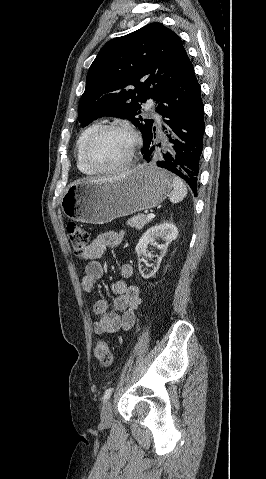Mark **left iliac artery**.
I'll return each mask as SVG.
<instances>
[{"label":"left iliac artery","mask_w":266,"mask_h":479,"mask_svg":"<svg viewBox=\"0 0 266 479\" xmlns=\"http://www.w3.org/2000/svg\"><path fill=\"white\" fill-rule=\"evenodd\" d=\"M113 392V388H108L103 395V402H106Z\"/></svg>","instance_id":"44dca946"}]
</instances>
